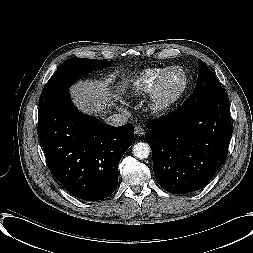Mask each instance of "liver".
<instances>
[{
	"instance_id": "1",
	"label": "liver",
	"mask_w": 253,
	"mask_h": 253,
	"mask_svg": "<svg viewBox=\"0 0 253 253\" xmlns=\"http://www.w3.org/2000/svg\"><path fill=\"white\" fill-rule=\"evenodd\" d=\"M109 86L101 81H79L70 88L71 96L78 108L89 115H101L109 102Z\"/></svg>"
}]
</instances>
